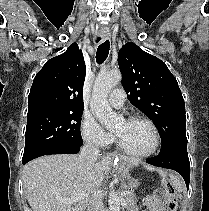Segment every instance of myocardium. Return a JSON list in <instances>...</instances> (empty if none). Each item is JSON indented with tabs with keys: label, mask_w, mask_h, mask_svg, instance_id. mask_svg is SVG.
<instances>
[{
	"label": "myocardium",
	"mask_w": 209,
	"mask_h": 211,
	"mask_svg": "<svg viewBox=\"0 0 209 211\" xmlns=\"http://www.w3.org/2000/svg\"><path fill=\"white\" fill-rule=\"evenodd\" d=\"M127 121H140V122L146 123L152 130L153 144H152V147L148 151L136 153V152H132V151H129L128 149H126L121 144L118 137L116 136L115 142H116V146H117L118 150L121 151L122 153H124L125 155L130 156L135 159H144V158H148V157L154 155L157 152V150L159 149L160 141H161L160 133H159V130H158L156 124L150 118H148L146 116H142V115L131 116Z\"/></svg>",
	"instance_id": "f54148a6"
}]
</instances>
